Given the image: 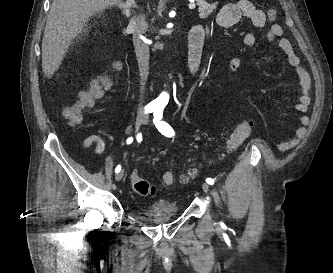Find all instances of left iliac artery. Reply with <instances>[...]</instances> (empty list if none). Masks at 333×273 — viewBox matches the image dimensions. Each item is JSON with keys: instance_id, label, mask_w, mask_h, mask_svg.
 Returning a JSON list of instances; mask_svg holds the SVG:
<instances>
[{"instance_id": "1", "label": "left iliac artery", "mask_w": 333, "mask_h": 273, "mask_svg": "<svg viewBox=\"0 0 333 273\" xmlns=\"http://www.w3.org/2000/svg\"><path fill=\"white\" fill-rule=\"evenodd\" d=\"M153 123L155 124L156 128L161 132L162 135H165L166 137H172L175 135V132L173 128L165 121L162 120L163 118V110L162 109H155L153 111ZM206 182L209 185L214 184V180L212 178H207Z\"/></svg>"}]
</instances>
